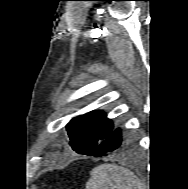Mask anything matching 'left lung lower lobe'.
I'll return each mask as SVG.
<instances>
[{
  "instance_id": "1",
  "label": "left lung lower lobe",
  "mask_w": 188,
  "mask_h": 189,
  "mask_svg": "<svg viewBox=\"0 0 188 189\" xmlns=\"http://www.w3.org/2000/svg\"><path fill=\"white\" fill-rule=\"evenodd\" d=\"M121 130L112 131L88 156L101 157L108 152H112L121 146Z\"/></svg>"
}]
</instances>
